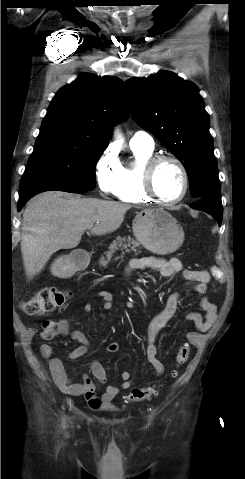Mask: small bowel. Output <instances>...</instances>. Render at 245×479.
I'll return each instance as SVG.
<instances>
[{
	"label": "small bowel",
	"instance_id": "1",
	"mask_svg": "<svg viewBox=\"0 0 245 479\" xmlns=\"http://www.w3.org/2000/svg\"><path fill=\"white\" fill-rule=\"evenodd\" d=\"M150 269L157 271L164 278H172L177 273L181 272L183 277L187 281H192L195 284L192 286V290L198 294H205L207 290V284L210 281V275L204 270H189L183 269L181 261L177 258L164 259L159 257H141L131 258L125 270L126 277H129L134 271ZM98 296L103 301L104 310H112L114 307V296L107 291L98 292ZM180 293L174 292L168 296L164 308L152 319L148 332H147V344L146 355L149 363L154 368L158 375H161L165 367L163 363L157 358L158 346L156 343L157 335L160 330L174 317L178 303L180 300ZM200 309L204 313L202 316L200 313L191 312L188 314L187 319L192 321L198 332H207L212 328L217 320V308L207 297L203 296L200 299ZM92 305L87 304L84 306L85 312H90ZM59 333L62 335H70L72 339L79 343V346L72 349L69 353L71 360H77L83 357L89 348V342L85 334L80 330H69V324L67 320L58 321ZM109 352H117L119 350V344L117 342H110L106 346ZM40 353L44 359H46L52 377L58 386V388L64 394L71 396L83 397L90 409L102 410L108 409L113 406V400L123 390H128L132 387L131 373L123 371L121 373L122 383L119 387L108 386L102 395L97 394L98 384H104L107 380L106 371L103 365L99 361H92L90 364V372L97 382L93 381L88 375L83 376L81 383H73L66 374L62 361L53 356V348L49 344H42L40 346Z\"/></svg>",
	"mask_w": 245,
	"mask_h": 479
}]
</instances>
